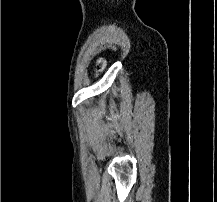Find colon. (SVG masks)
I'll return each instance as SVG.
<instances>
[{
  "instance_id": "1",
  "label": "colon",
  "mask_w": 217,
  "mask_h": 202,
  "mask_svg": "<svg viewBox=\"0 0 217 202\" xmlns=\"http://www.w3.org/2000/svg\"><path fill=\"white\" fill-rule=\"evenodd\" d=\"M106 60L104 59V57L99 56L95 59L94 61V69H95V75L100 74L101 72H103L106 68Z\"/></svg>"
}]
</instances>
